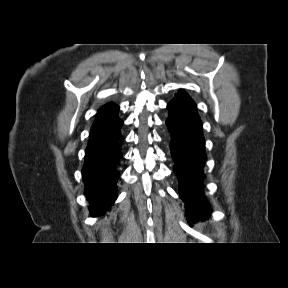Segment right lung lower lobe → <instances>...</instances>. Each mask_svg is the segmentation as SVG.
<instances>
[{"label": "right lung lower lobe", "instance_id": "1", "mask_svg": "<svg viewBox=\"0 0 288 288\" xmlns=\"http://www.w3.org/2000/svg\"><path fill=\"white\" fill-rule=\"evenodd\" d=\"M122 125L123 121L120 128ZM120 128L109 138L88 144L85 150L82 176L85 196L90 202L89 210L93 217L106 213L117 198L121 146L124 141Z\"/></svg>", "mask_w": 288, "mask_h": 288}]
</instances>
